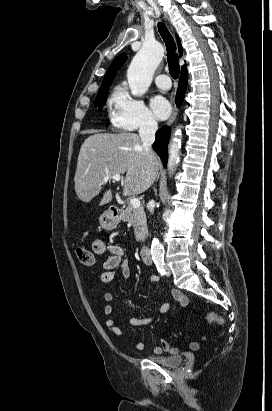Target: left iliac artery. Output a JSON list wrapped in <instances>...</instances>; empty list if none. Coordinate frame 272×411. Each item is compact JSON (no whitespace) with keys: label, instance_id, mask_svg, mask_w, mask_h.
I'll use <instances>...</instances> for the list:
<instances>
[{"label":"left iliac artery","instance_id":"left-iliac-artery-1","mask_svg":"<svg viewBox=\"0 0 272 411\" xmlns=\"http://www.w3.org/2000/svg\"><path fill=\"white\" fill-rule=\"evenodd\" d=\"M154 263L156 264L157 270L161 275L165 274V269H164V259L163 258H157L154 260Z\"/></svg>","mask_w":272,"mask_h":411}]
</instances>
